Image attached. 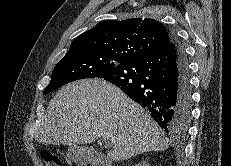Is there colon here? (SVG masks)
I'll return each mask as SVG.
<instances>
[{
  "instance_id": "5ec220e1",
  "label": "colon",
  "mask_w": 231,
  "mask_h": 166,
  "mask_svg": "<svg viewBox=\"0 0 231 166\" xmlns=\"http://www.w3.org/2000/svg\"><path fill=\"white\" fill-rule=\"evenodd\" d=\"M42 158L46 166H61L59 157L49 151H44L42 153Z\"/></svg>"
}]
</instances>
